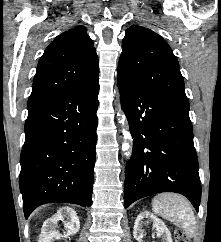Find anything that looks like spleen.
Masks as SVG:
<instances>
[{"label": "spleen", "instance_id": "3e777b00", "mask_svg": "<svg viewBox=\"0 0 221 242\" xmlns=\"http://www.w3.org/2000/svg\"><path fill=\"white\" fill-rule=\"evenodd\" d=\"M152 210L182 229L189 238L195 237L196 218L190 202L182 195L158 194L152 200Z\"/></svg>", "mask_w": 221, "mask_h": 242}]
</instances>
